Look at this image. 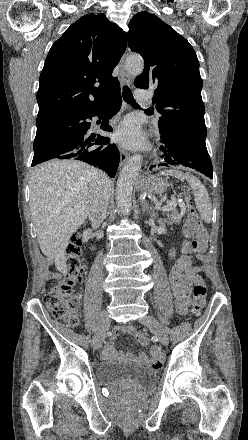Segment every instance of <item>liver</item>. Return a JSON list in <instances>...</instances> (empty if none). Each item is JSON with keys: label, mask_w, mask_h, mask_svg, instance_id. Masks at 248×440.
<instances>
[{"label": "liver", "mask_w": 248, "mask_h": 440, "mask_svg": "<svg viewBox=\"0 0 248 440\" xmlns=\"http://www.w3.org/2000/svg\"><path fill=\"white\" fill-rule=\"evenodd\" d=\"M96 172L102 171L81 161L51 160L31 174L30 211L38 244L59 272L67 269L70 237L88 216Z\"/></svg>", "instance_id": "1"}]
</instances>
